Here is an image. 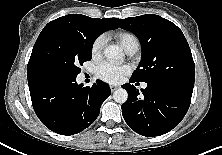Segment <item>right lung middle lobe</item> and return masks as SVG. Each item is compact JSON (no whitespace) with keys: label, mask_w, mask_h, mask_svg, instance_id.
Segmentation results:
<instances>
[{"label":"right lung middle lobe","mask_w":222,"mask_h":155,"mask_svg":"<svg viewBox=\"0 0 222 155\" xmlns=\"http://www.w3.org/2000/svg\"><path fill=\"white\" fill-rule=\"evenodd\" d=\"M103 30L93 21H61L45 26L30 59L52 79L75 78L92 58V46Z\"/></svg>","instance_id":"dd1d6c3e"}]
</instances>
